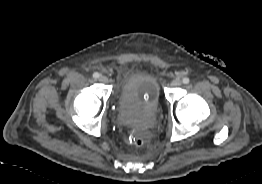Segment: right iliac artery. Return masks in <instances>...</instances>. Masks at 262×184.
I'll return each instance as SVG.
<instances>
[{"label": "right iliac artery", "instance_id": "82829eb1", "mask_svg": "<svg viewBox=\"0 0 262 184\" xmlns=\"http://www.w3.org/2000/svg\"><path fill=\"white\" fill-rule=\"evenodd\" d=\"M99 76H100V74H99L98 72L93 73V77H94V78L97 79V78H99Z\"/></svg>", "mask_w": 262, "mask_h": 184}]
</instances>
